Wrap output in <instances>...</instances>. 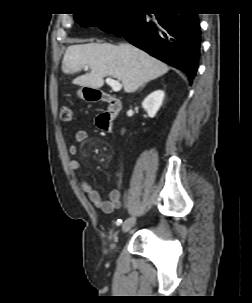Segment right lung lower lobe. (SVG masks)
Wrapping results in <instances>:
<instances>
[{
	"mask_svg": "<svg viewBox=\"0 0 252 303\" xmlns=\"http://www.w3.org/2000/svg\"><path fill=\"white\" fill-rule=\"evenodd\" d=\"M102 30L124 37L150 55L182 70L190 82L194 79L201 43L197 14L166 10L149 19L144 13H131Z\"/></svg>",
	"mask_w": 252,
	"mask_h": 303,
	"instance_id": "obj_1",
	"label": "right lung lower lobe"
}]
</instances>
